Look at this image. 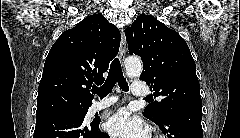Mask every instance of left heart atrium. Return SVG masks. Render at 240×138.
Masks as SVG:
<instances>
[{"instance_id": "left-heart-atrium-1", "label": "left heart atrium", "mask_w": 240, "mask_h": 138, "mask_svg": "<svg viewBox=\"0 0 240 138\" xmlns=\"http://www.w3.org/2000/svg\"><path fill=\"white\" fill-rule=\"evenodd\" d=\"M106 127L115 138H146L149 134L144 124L132 116L126 108H121L112 115Z\"/></svg>"}]
</instances>
